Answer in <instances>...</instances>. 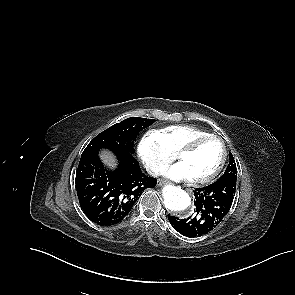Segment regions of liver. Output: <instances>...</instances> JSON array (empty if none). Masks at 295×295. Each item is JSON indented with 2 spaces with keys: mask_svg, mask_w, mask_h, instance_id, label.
<instances>
[{
  "mask_svg": "<svg viewBox=\"0 0 295 295\" xmlns=\"http://www.w3.org/2000/svg\"><path fill=\"white\" fill-rule=\"evenodd\" d=\"M103 162L111 167L115 165L113 155L108 151H103L101 154Z\"/></svg>",
  "mask_w": 295,
  "mask_h": 295,
  "instance_id": "6515ba94",
  "label": "liver"
}]
</instances>
